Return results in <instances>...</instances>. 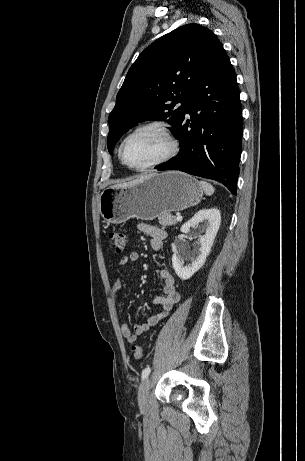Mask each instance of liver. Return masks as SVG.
<instances>
[{
  "label": "liver",
  "mask_w": 305,
  "mask_h": 461,
  "mask_svg": "<svg viewBox=\"0 0 305 461\" xmlns=\"http://www.w3.org/2000/svg\"><path fill=\"white\" fill-rule=\"evenodd\" d=\"M150 176V175H148ZM148 176H142L136 180H132L130 182H126V183H120V184H117V185H114L113 187L114 188H125V187H129V186H132L134 184H137L138 182L142 181L143 179L147 178Z\"/></svg>",
  "instance_id": "obj_1"
}]
</instances>
